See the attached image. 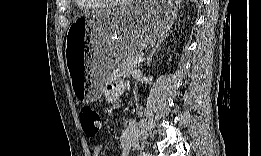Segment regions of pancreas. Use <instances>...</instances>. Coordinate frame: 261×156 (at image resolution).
I'll use <instances>...</instances> for the list:
<instances>
[{"label":"pancreas","instance_id":"1","mask_svg":"<svg viewBox=\"0 0 261 156\" xmlns=\"http://www.w3.org/2000/svg\"><path fill=\"white\" fill-rule=\"evenodd\" d=\"M135 55L128 56L122 59L118 64L113 67V72L120 76H129L133 69H135L139 64H133Z\"/></svg>","mask_w":261,"mask_h":156}]
</instances>
